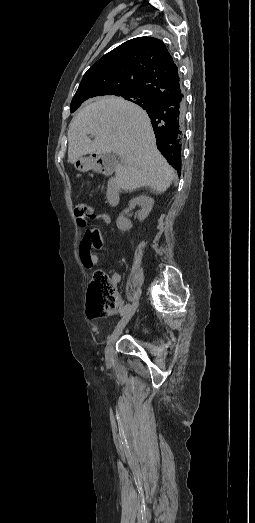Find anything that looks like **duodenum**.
<instances>
[{"instance_id":"1","label":"duodenum","mask_w":255,"mask_h":523,"mask_svg":"<svg viewBox=\"0 0 255 523\" xmlns=\"http://www.w3.org/2000/svg\"><path fill=\"white\" fill-rule=\"evenodd\" d=\"M83 167L86 170L101 173L106 176L113 174V166L102 155L93 154L83 161ZM107 202L111 207H116L120 202V186L118 180L112 177L107 189Z\"/></svg>"}]
</instances>
